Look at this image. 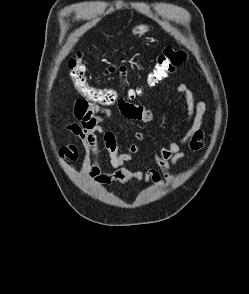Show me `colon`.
Segmentation results:
<instances>
[{"instance_id": "5ec220e1", "label": "colon", "mask_w": 249, "mask_h": 294, "mask_svg": "<svg viewBox=\"0 0 249 294\" xmlns=\"http://www.w3.org/2000/svg\"><path fill=\"white\" fill-rule=\"evenodd\" d=\"M186 58L187 55L183 50L170 45L166 46L158 55L154 66L147 75L145 86L156 87L161 84L186 61ZM67 68L73 88L90 104L112 105L122 98V91L114 88H98L89 83L81 55L71 58ZM122 69L124 68H119L120 71ZM114 70L116 67L110 69V71ZM140 90V88H130L125 91V94L128 98H134Z\"/></svg>"}]
</instances>
